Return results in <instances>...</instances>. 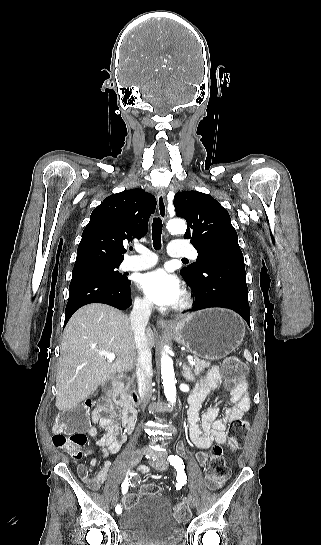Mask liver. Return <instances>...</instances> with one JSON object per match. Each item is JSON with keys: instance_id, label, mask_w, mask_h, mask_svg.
<instances>
[{"instance_id": "liver-1", "label": "liver", "mask_w": 321, "mask_h": 545, "mask_svg": "<svg viewBox=\"0 0 321 545\" xmlns=\"http://www.w3.org/2000/svg\"><path fill=\"white\" fill-rule=\"evenodd\" d=\"M149 349L154 347L152 329H145ZM99 351L114 353L109 363ZM138 359L129 317L101 303L85 305L65 327L56 379V407L70 411L79 407L101 383L116 373L131 371Z\"/></svg>"}]
</instances>
